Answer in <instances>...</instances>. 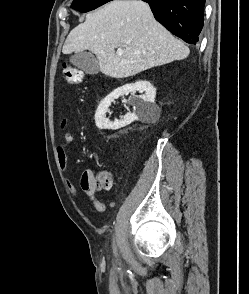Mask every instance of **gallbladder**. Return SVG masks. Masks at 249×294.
<instances>
[{
    "label": "gallbladder",
    "instance_id": "obj_1",
    "mask_svg": "<svg viewBox=\"0 0 249 294\" xmlns=\"http://www.w3.org/2000/svg\"><path fill=\"white\" fill-rule=\"evenodd\" d=\"M70 63L89 75H95L99 72L98 60L90 52L75 53L70 57Z\"/></svg>",
    "mask_w": 249,
    "mask_h": 294
}]
</instances>
